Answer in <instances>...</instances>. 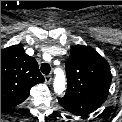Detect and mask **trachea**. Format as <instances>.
Listing matches in <instances>:
<instances>
[{
    "label": "trachea",
    "mask_w": 122,
    "mask_h": 122,
    "mask_svg": "<svg viewBox=\"0 0 122 122\" xmlns=\"http://www.w3.org/2000/svg\"><path fill=\"white\" fill-rule=\"evenodd\" d=\"M51 67L48 63H42L41 65V72L45 75H48L50 73Z\"/></svg>",
    "instance_id": "3493384b"
}]
</instances>
